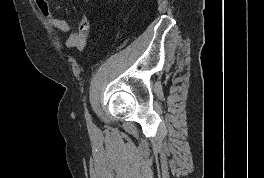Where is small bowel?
<instances>
[{
    "mask_svg": "<svg viewBox=\"0 0 264 178\" xmlns=\"http://www.w3.org/2000/svg\"><path fill=\"white\" fill-rule=\"evenodd\" d=\"M34 1L38 10L47 20L50 26L61 32H69L71 30V25L67 21L58 18L56 15H54L50 7V4L48 3L47 0H34Z\"/></svg>",
    "mask_w": 264,
    "mask_h": 178,
    "instance_id": "1",
    "label": "small bowel"
}]
</instances>
